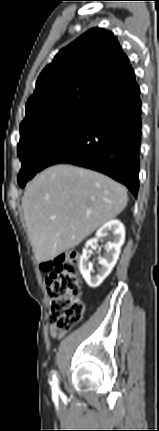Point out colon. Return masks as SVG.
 <instances>
[{
  "label": "colon",
  "instance_id": "1",
  "mask_svg": "<svg viewBox=\"0 0 159 431\" xmlns=\"http://www.w3.org/2000/svg\"><path fill=\"white\" fill-rule=\"evenodd\" d=\"M77 264L78 254L75 251L63 253L42 264V268L49 271L46 285L51 300L52 319L59 329L65 331L74 327L83 315Z\"/></svg>",
  "mask_w": 159,
  "mask_h": 431
}]
</instances>
